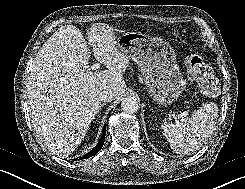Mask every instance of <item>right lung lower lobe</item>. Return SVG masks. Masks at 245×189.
<instances>
[{"label":"right lung lower lobe","instance_id":"98d812e1","mask_svg":"<svg viewBox=\"0 0 245 189\" xmlns=\"http://www.w3.org/2000/svg\"><path fill=\"white\" fill-rule=\"evenodd\" d=\"M105 134H106V125H104L103 131H102V136H101L99 142L97 143V145L90 152H88L85 156H83L79 159H87L89 157L96 155L98 153V151H100L102 146H103V143L105 140Z\"/></svg>","mask_w":245,"mask_h":189}]
</instances>
